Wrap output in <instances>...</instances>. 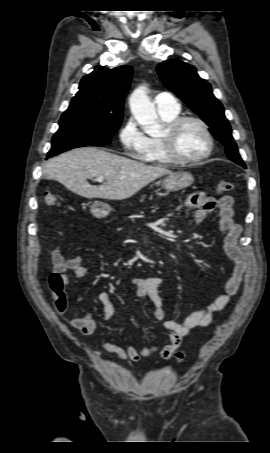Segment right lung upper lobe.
<instances>
[{"label":"right lung upper lobe","mask_w":270,"mask_h":453,"mask_svg":"<svg viewBox=\"0 0 270 453\" xmlns=\"http://www.w3.org/2000/svg\"><path fill=\"white\" fill-rule=\"evenodd\" d=\"M133 69L121 66L108 69L101 66L83 77L79 91L62 116L91 113L122 120L124 97L130 87Z\"/></svg>","instance_id":"obj_1"}]
</instances>
